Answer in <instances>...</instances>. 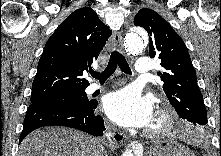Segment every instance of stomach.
Instances as JSON below:
<instances>
[{
	"label": "stomach",
	"instance_id": "obj_1",
	"mask_svg": "<svg viewBox=\"0 0 221 156\" xmlns=\"http://www.w3.org/2000/svg\"><path fill=\"white\" fill-rule=\"evenodd\" d=\"M149 156H195L186 147L175 141L168 140L154 147Z\"/></svg>",
	"mask_w": 221,
	"mask_h": 156
}]
</instances>
